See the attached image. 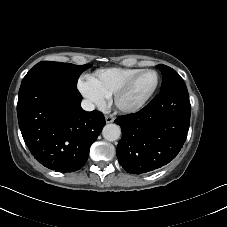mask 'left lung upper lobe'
I'll return each mask as SVG.
<instances>
[{"label":"left lung upper lobe","mask_w":227,"mask_h":227,"mask_svg":"<svg viewBox=\"0 0 227 227\" xmlns=\"http://www.w3.org/2000/svg\"><path fill=\"white\" fill-rule=\"evenodd\" d=\"M162 72L163 81L160 91H165L171 88H186V85L180 75L172 68L166 65L156 66Z\"/></svg>","instance_id":"left-lung-upper-lobe-1"}]
</instances>
